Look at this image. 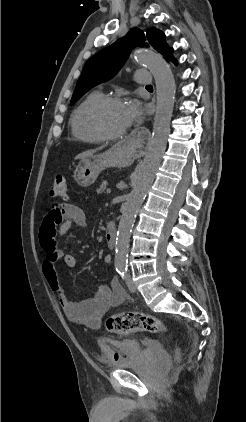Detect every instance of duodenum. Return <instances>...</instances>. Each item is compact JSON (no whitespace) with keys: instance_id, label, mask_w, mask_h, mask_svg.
<instances>
[{"instance_id":"duodenum-1","label":"duodenum","mask_w":246,"mask_h":422,"mask_svg":"<svg viewBox=\"0 0 246 422\" xmlns=\"http://www.w3.org/2000/svg\"><path fill=\"white\" fill-rule=\"evenodd\" d=\"M116 226L114 223L109 222L106 227L105 240L109 249H114L116 246Z\"/></svg>"}]
</instances>
